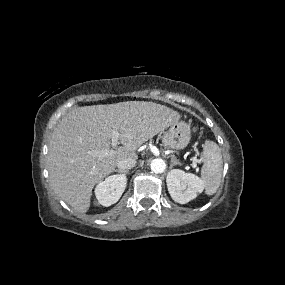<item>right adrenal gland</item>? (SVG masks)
Listing matches in <instances>:
<instances>
[{"mask_svg": "<svg viewBox=\"0 0 285 285\" xmlns=\"http://www.w3.org/2000/svg\"><path fill=\"white\" fill-rule=\"evenodd\" d=\"M115 172H118V173L124 174V175L129 173L128 170H119V169L115 170Z\"/></svg>", "mask_w": 285, "mask_h": 285, "instance_id": "1", "label": "right adrenal gland"}]
</instances>
